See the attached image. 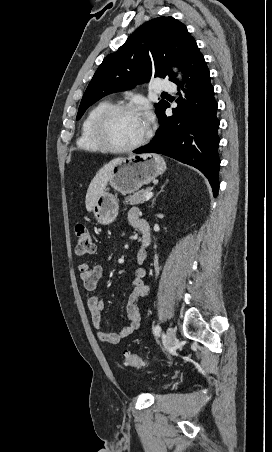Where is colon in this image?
<instances>
[{"label":"colon","mask_w":272,"mask_h":452,"mask_svg":"<svg viewBox=\"0 0 272 452\" xmlns=\"http://www.w3.org/2000/svg\"><path fill=\"white\" fill-rule=\"evenodd\" d=\"M75 234L77 238L75 247L76 254L81 256L92 254L95 251V244L93 235L88 227L84 223L78 222L75 226ZM125 364L131 367L140 368L145 365V361L138 354L127 353Z\"/></svg>","instance_id":"1"}]
</instances>
